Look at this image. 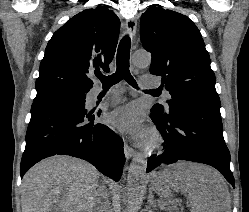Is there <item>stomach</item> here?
I'll return each mask as SVG.
<instances>
[{"mask_svg": "<svg viewBox=\"0 0 249 212\" xmlns=\"http://www.w3.org/2000/svg\"><path fill=\"white\" fill-rule=\"evenodd\" d=\"M175 184H154L153 193H174Z\"/></svg>", "mask_w": 249, "mask_h": 212, "instance_id": "obj_1", "label": "stomach"}]
</instances>
